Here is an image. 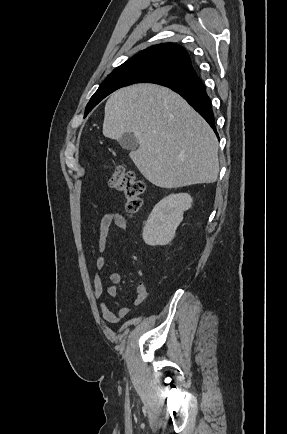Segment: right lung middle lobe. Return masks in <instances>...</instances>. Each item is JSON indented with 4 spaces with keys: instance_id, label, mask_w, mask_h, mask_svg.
Wrapping results in <instances>:
<instances>
[{
    "instance_id": "right-lung-middle-lobe-1",
    "label": "right lung middle lobe",
    "mask_w": 287,
    "mask_h": 434,
    "mask_svg": "<svg viewBox=\"0 0 287 434\" xmlns=\"http://www.w3.org/2000/svg\"><path fill=\"white\" fill-rule=\"evenodd\" d=\"M180 76L160 69L143 68L128 72H118L108 75L105 81L91 97L85 110V116L106 96L115 90L135 83H156L163 81H177Z\"/></svg>"
}]
</instances>
